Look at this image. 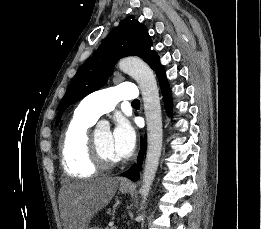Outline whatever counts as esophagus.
<instances>
[{
    "instance_id": "1",
    "label": "esophagus",
    "mask_w": 261,
    "mask_h": 229,
    "mask_svg": "<svg viewBox=\"0 0 261 229\" xmlns=\"http://www.w3.org/2000/svg\"><path fill=\"white\" fill-rule=\"evenodd\" d=\"M121 184L124 186H132V182L129 179H123V181H121Z\"/></svg>"
}]
</instances>
